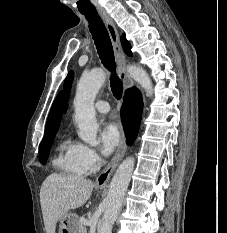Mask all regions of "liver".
<instances>
[{"mask_svg": "<svg viewBox=\"0 0 227 233\" xmlns=\"http://www.w3.org/2000/svg\"><path fill=\"white\" fill-rule=\"evenodd\" d=\"M91 180L52 173L40 189V203L46 233H55L56 224L69 210L83 206L92 194Z\"/></svg>", "mask_w": 227, "mask_h": 233, "instance_id": "1", "label": "liver"}]
</instances>
